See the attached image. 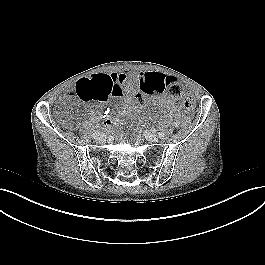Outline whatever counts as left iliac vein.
<instances>
[{
	"label": "left iliac vein",
	"instance_id": "1",
	"mask_svg": "<svg viewBox=\"0 0 265 265\" xmlns=\"http://www.w3.org/2000/svg\"><path fill=\"white\" fill-rule=\"evenodd\" d=\"M144 136L145 139L149 142H158L159 140V138L155 134H152L151 132H145Z\"/></svg>",
	"mask_w": 265,
	"mask_h": 265
}]
</instances>
